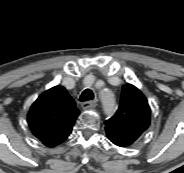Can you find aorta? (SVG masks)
Returning <instances> with one entry per match:
<instances>
[{
    "label": "aorta",
    "instance_id": "1",
    "mask_svg": "<svg viewBox=\"0 0 184 173\" xmlns=\"http://www.w3.org/2000/svg\"><path fill=\"white\" fill-rule=\"evenodd\" d=\"M101 102H102L104 113L106 115L111 116L115 113L117 109V104H116L115 96L111 91L107 90L102 92Z\"/></svg>",
    "mask_w": 184,
    "mask_h": 173
}]
</instances>
